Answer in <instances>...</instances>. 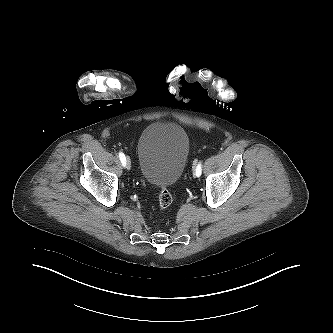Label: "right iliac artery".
<instances>
[{"label": "right iliac artery", "mask_w": 333, "mask_h": 333, "mask_svg": "<svg viewBox=\"0 0 333 333\" xmlns=\"http://www.w3.org/2000/svg\"><path fill=\"white\" fill-rule=\"evenodd\" d=\"M119 158H120V161H121L122 165L125 166V164H126V158H125L124 153L119 152Z\"/></svg>", "instance_id": "82829eb1"}]
</instances>
